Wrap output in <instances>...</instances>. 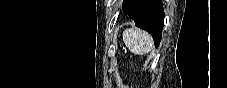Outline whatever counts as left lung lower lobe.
Instances as JSON below:
<instances>
[{"mask_svg": "<svg viewBox=\"0 0 227 88\" xmlns=\"http://www.w3.org/2000/svg\"><path fill=\"white\" fill-rule=\"evenodd\" d=\"M123 13L127 14L135 25L149 32L156 47L159 46L164 25V9L161 0H125Z\"/></svg>", "mask_w": 227, "mask_h": 88, "instance_id": "0a47b994", "label": "left lung lower lobe"}]
</instances>
